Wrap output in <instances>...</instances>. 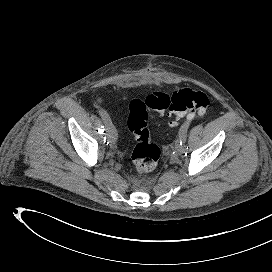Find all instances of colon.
<instances>
[{"instance_id":"colon-1","label":"colon","mask_w":272,"mask_h":272,"mask_svg":"<svg viewBox=\"0 0 272 272\" xmlns=\"http://www.w3.org/2000/svg\"><path fill=\"white\" fill-rule=\"evenodd\" d=\"M209 103V98L204 92L190 88L180 89L171 95L154 92L145 99L131 100L127 123L136 140L132 161L137 171H153L160 157V149L151 141L148 129L151 111L169 112L177 116L203 115L207 112Z\"/></svg>"}]
</instances>
